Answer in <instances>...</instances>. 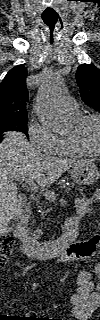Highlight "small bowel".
I'll return each mask as SVG.
<instances>
[{
  "label": "small bowel",
  "instance_id": "c3829d8e",
  "mask_svg": "<svg viewBox=\"0 0 100 320\" xmlns=\"http://www.w3.org/2000/svg\"><path fill=\"white\" fill-rule=\"evenodd\" d=\"M98 199V193L92 197L77 198L75 200L77 214L80 217L88 214L92 204ZM83 243L74 247L72 251L82 253L83 249L81 246ZM95 271L100 274V264L95 266ZM74 285L76 286V293L68 297L70 312L77 320H88L100 305L99 287L88 270L82 271L75 278ZM33 286L35 287L36 284Z\"/></svg>",
  "mask_w": 100,
  "mask_h": 320
}]
</instances>
